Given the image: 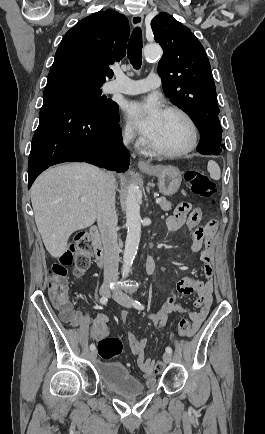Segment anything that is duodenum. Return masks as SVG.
Masks as SVG:
<instances>
[{"label": "duodenum", "instance_id": "410a0bca", "mask_svg": "<svg viewBox=\"0 0 265 434\" xmlns=\"http://www.w3.org/2000/svg\"><path fill=\"white\" fill-rule=\"evenodd\" d=\"M89 233H90V237H91L92 241L94 242V246H95L94 255H95L96 263H97V265L102 266L103 260H104V249L100 243L99 230L96 227H92L90 229ZM144 265H145L146 274L152 275L154 273L155 266H156L155 256L154 255L147 256L145 258Z\"/></svg>", "mask_w": 265, "mask_h": 434}]
</instances>
